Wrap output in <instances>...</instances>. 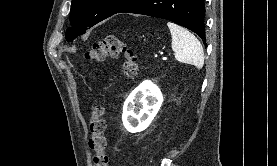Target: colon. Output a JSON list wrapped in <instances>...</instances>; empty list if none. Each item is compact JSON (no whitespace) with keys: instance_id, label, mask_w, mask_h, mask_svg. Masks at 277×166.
<instances>
[{"instance_id":"5ec220e1","label":"colon","mask_w":277,"mask_h":166,"mask_svg":"<svg viewBox=\"0 0 277 166\" xmlns=\"http://www.w3.org/2000/svg\"><path fill=\"white\" fill-rule=\"evenodd\" d=\"M123 57L121 62L122 74L132 78L137 74L138 62L134 53L127 48L125 42L115 35H107L95 42L86 52L85 59L100 62L107 58ZM105 108L103 102L92 107L89 121V147L94 152V166H108L109 157L106 153V138L104 132L106 122L104 119Z\"/></svg>"}]
</instances>
